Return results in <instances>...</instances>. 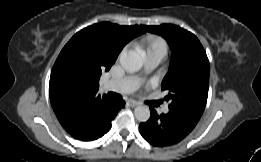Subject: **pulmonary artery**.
<instances>
[{
  "label": "pulmonary artery",
  "mask_w": 261,
  "mask_h": 162,
  "mask_svg": "<svg viewBox=\"0 0 261 162\" xmlns=\"http://www.w3.org/2000/svg\"><path fill=\"white\" fill-rule=\"evenodd\" d=\"M164 59V55L161 53H150L146 56V72L156 68ZM139 84V79L135 77H126L123 79H110L104 84V89L107 91L126 94L134 91ZM163 113H168L169 107L167 104L161 107Z\"/></svg>",
  "instance_id": "e3ab8cb5"
}]
</instances>
